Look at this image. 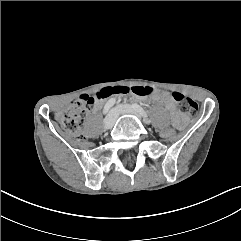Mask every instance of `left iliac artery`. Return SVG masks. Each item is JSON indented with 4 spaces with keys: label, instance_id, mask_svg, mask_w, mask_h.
<instances>
[{
    "label": "left iliac artery",
    "instance_id": "1",
    "mask_svg": "<svg viewBox=\"0 0 241 241\" xmlns=\"http://www.w3.org/2000/svg\"><path fill=\"white\" fill-rule=\"evenodd\" d=\"M132 107L144 118V119H148V115L146 113V111L139 106L138 104H133Z\"/></svg>",
    "mask_w": 241,
    "mask_h": 241
}]
</instances>
